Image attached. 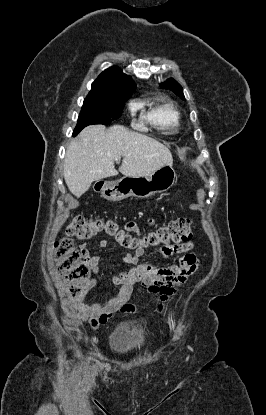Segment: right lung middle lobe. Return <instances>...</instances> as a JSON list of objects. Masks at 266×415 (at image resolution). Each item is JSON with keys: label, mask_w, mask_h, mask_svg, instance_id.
Instances as JSON below:
<instances>
[{"label": "right lung middle lobe", "mask_w": 266, "mask_h": 415, "mask_svg": "<svg viewBox=\"0 0 266 415\" xmlns=\"http://www.w3.org/2000/svg\"><path fill=\"white\" fill-rule=\"evenodd\" d=\"M131 95L111 97H86L78 117L77 126L73 131L76 136L84 127L92 124L107 125L121 116L124 102Z\"/></svg>", "instance_id": "dd1d6c3e"}]
</instances>
